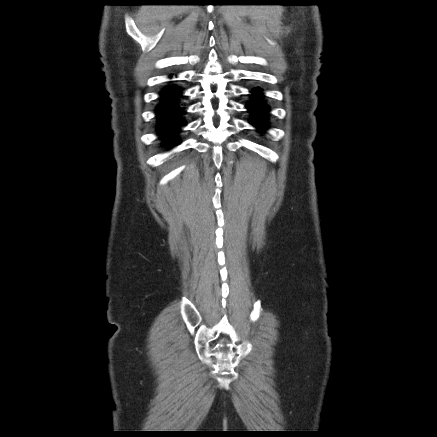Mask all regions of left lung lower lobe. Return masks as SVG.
I'll list each match as a JSON object with an SVG mask.
<instances>
[{"instance_id": "1", "label": "left lung lower lobe", "mask_w": 437, "mask_h": 437, "mask_svg": "<svg viewBox=\"0 0 437 437\" xmlns=\"http://www.w3.org/2000/svg\"><path fill=\"white\" fill-rule=\"evenodd\" d=\"M250 93V99L245 105L250 113L249 122L263 132V130H266L268 127L267 119L269 107L264 101V94L262 93V89L260 87L253 88Z\"/></svg>"}]
</instances>
